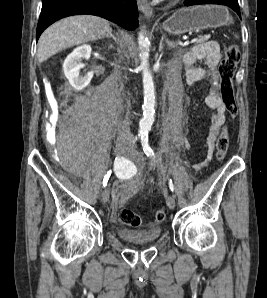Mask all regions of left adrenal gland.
Here are the masks:
<instances>
[{
	"label": "left adrenal gland",
	"mask_w": 267,
	"mask_h": 298,
	"mask_svg": "<svg viewBox=\"0 0 267 298\" xmlns=\"http://www.w3.org/2000/svg\"><path fill=\"white\" fill-rule=\"evenodd\" d=\"M166 42L167 46L169 47V49L176 47V44L172 41H169L168 39H166L165 35L162 36L161 38V42H160V46H159V51H162L163 49V42Z\"/></svg>",
	"instance_id": "a2214340"
}]
</instances>
